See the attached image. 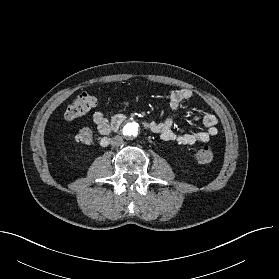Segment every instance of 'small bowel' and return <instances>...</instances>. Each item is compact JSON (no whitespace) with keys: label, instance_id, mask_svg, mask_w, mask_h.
I'll use <instances>...</instances> for the list:
<instances>
[{"label":"small bowel","instance_id":"obj_1","mask_svg":"<svg viewBox=\"0 0 279 279\" xmlns=\"http://www.w3.org/2000/svg\"><path fill=\"white\" fill-rule=\"evenodd\" d=\"M193 91L190 89H177L170 94V115L163 121H153L150 123V130L159 134L164 141L176 142L179 145H194L206 143L218 133L216 124L217 118L212 113H204L195 118L201 121L205 129L194 133L177 134L172 127L178 117L180 105L183 101L193 97ZM93 121L97 126L99 133L106 135L110 132L111 123L109 119L100 111L93 114Z\"/></svg>","mask_w":279,"mask_h":279}]
</instances>
